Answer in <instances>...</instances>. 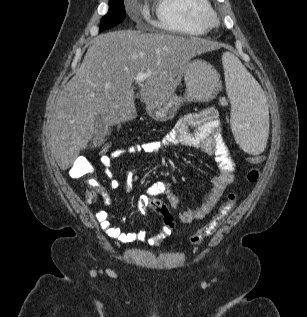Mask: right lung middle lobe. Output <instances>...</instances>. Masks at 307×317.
Returning <instances> with one entry per match:
<instances>
[{
  "label": "right lung middle lobe",
  "mask_w": 307,
  "mask_h": 317,
  "mask_svg": "<svg viewBox=\"0 0 307 317\" xmlns=\"http://www.w3.org/2000/svg\"><path fill=\"white\" fill-rule=\"evenodd\" d=\"M126 16L123 0H109V11L102 18L99 31L110 29L121 23Z\"/></svg>",
  "instance_id": "obj_1"
}]
</instances>
